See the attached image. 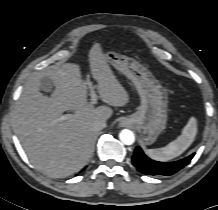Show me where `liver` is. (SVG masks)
Returning a JSON list of instances; mask_svg holds the SVG:
<instances>
[{
	"instance_id": "liver-1",
	"label": "liver",
	"mask_w": 218,
	"mask_h": 210,
	"mask_svg": "<svg viewBox=\"0 0 218 210\" xmlns=\"http://www.w3.org/2000/svg\"><path fill=\"white\" fill-rule=\"evenodd\" d=\"M88 57L102 101L110 106H125L128 93L99 44L92 46ZM44 77L55 86L51 97L40 92ZM87 97L77 64L49 67L24 85L14 112L15 132L31 163L49 177L64 178L80 171L90 160L99 134L95 122L107 121L112 115L110 107H94ZM67 110L74 111V117L61 120Z\"/></svg>"
}]
</instances>
